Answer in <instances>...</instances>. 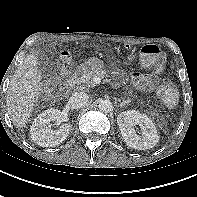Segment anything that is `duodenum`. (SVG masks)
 Segmentation results:
<instances>
[{
    "mask_svg": "<svg viewBox=\"0 0 197 197\" xmlns=\"http://www.w3.org/2000/svg\"><path fill=\"white\" fill-rule=\"evenodd\" d=\"M77 74H78V70L73 73L72 77L70 78L69 82L67 83L66 88H65L66 91H70L74 87V85L76 83Z\"/></svg>",
    "mask_w": 197,
    "mask_h": 197,
    "instance_id": "duodenum-1",
    "label": "duodenum"
}]
</instances>
